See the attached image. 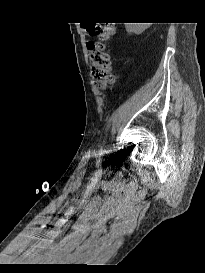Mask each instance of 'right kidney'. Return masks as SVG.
I'll list each match as a JSON object with an SVG mask.
<instances>
[{"label": "right kidney", "mask_w": 205, "mask_h": 273, "mask_svg": "<svg viewBox=\"0 0 205 273\" xmlns=\"http://www.w3.org/2000/svg\"><path fill=\"white\" fill-rule=\"evenodd\" d=\"M139 25V24H146L147 25V23H134V24H131V23H126L125 25H126V30L128 31V32H133V33H137V34H139V33H141V32H143L146 28H147V26H132V25ZM148 25H149V23H148Z\"/></svg>", "instance_id": "ca27d5eb"}]
</instances>
